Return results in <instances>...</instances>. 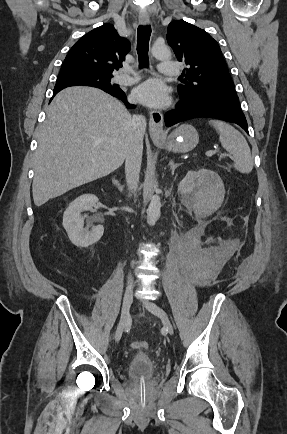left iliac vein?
I'll list each match as a JSON object with an SVG mask.
<instances>
[{"instance_id":"4c4485c4","label":"left iliac vein","mask_w":287,"mask_h":434,"mask_svg":"<svg viewBox=\"0 0 287 434\" xmlns=\"http://www.w3.org/2000/svg\"><path fill=\"white\" fill-rule=\"evenodd\" d=\"M142 304L148 311L161 319L164 327L168 330L170 335L174 334L173 325L162 307L148 300H142Z\"/></svg>"}]
</instances>
